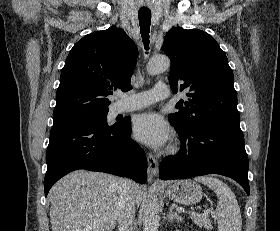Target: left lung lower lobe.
<instances>
[{
    "mask_svg": "<svg viewBox=\"0 0 280 231\" xmlns=\"http://www.w3.org/2000/svg\"><path fill=\"white\" fill-rule=\"evenodd\" d=\"M181 150L160 164L163 180L220 174L237 181L249 195L248 157L239 122L218 121L179 130Z\"/></svg>",
    "mask_w": 280,
    "mask_h": 231,
    "instance_id": "obj_1",
    "label": "left lung lower lobe"
}]
</instances>
